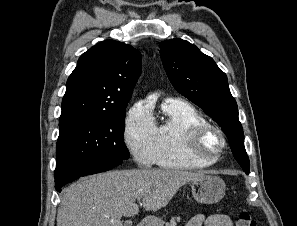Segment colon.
<instances>
[{"mask_svg": "<svg viewBox=\"0 0 297 226\" xmlns=\"http://www.w3.org/2000/svg\"><path fill=\"white\" fill-rule=\"evenodd\" d=\"M255 219L248 213L241 212L237 215L236 226H256Z\"/></svg>", "mask_w": 297, "mask_h": 226, "instance_id": "obj_1", "label": "colon"}]
</instances>
